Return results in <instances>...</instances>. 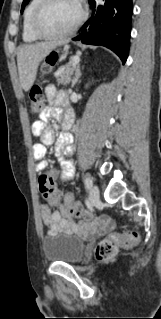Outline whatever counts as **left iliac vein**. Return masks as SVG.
<instances>
[{"mask_svg":"<svg viewBox=\"0 0 161 319\" xmlns=\"http://www.w3.org/2000/svg\"><path fill=\"white\" fill-rule=\"evenodd\" d=\"M100 193H99V189L96 185H93L90 189V200L92 202H95L96 200L99 199Z\"/></svg>","mask_w":161,"mask_h":319,"instance_id":"left-iliac-vein-1","label":"left iliac vein"}]
</instances>
